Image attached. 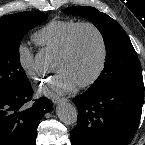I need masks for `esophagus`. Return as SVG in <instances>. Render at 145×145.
<instances>
[{
    "mask_svg": "<svg viewBox=\"0 0 145 145\" xmlns=\"http://www.w3.org/2000/svg\"><path fill=\"white\" fill-rule=\"evenodd\" d=\"M52 102L54 103V104H58V103H60L61 101H66L67 99L66 98H61V97H52Z\"/></svg>",
    "mask_w": 145,
    "mask_h": 145,
    "instance_id": "esophagus-1",
    "label": "esophagus"
}]
</instances>
